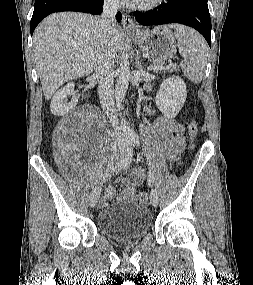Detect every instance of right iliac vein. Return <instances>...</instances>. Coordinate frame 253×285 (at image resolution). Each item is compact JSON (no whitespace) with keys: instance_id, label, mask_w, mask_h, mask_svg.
Listing matches in <instances>:
<instances>
[{"instance_id":"1","label":"right iliac vein","mask_w":253,"mask_h":285,"mask_svg":"<svg viewBox=\"0 0 253 285\" xmlns=\"http://www.w3.org/2000/svg\"><path fill=\"white\" fill-rule=\"evenodd\" d=\"M126 154H127V151L124 148L120 149V151H119L120 162L124 159ZM100 192H101V187H97L91 192V194L89 196V205L91 207L96 206L98 199H99V196H100Z\"/></svg>"}]
</instances>
